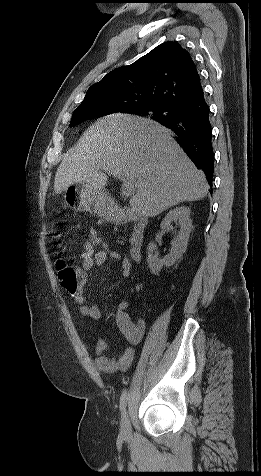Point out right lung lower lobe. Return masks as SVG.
<instances>
[{
	"label": "right lung lower lobe",
	"instance_id": "obj_1",
	"mask_svg": "<svg viewBox=\"0 0 261 476\" xmlns=\"http://www.w3.org/2000/svg\"><path fill=\"white\" fill-rule=\"evenodd\" d=\"M209 113L202 93L195 102L177 109L174 115L158 122L175 133L178 144L196 167L204 171L208 182H212L214 153Z\"/></svg>",
	"mask_w": 261,
	"mask_h": 476
}]
</instances>
